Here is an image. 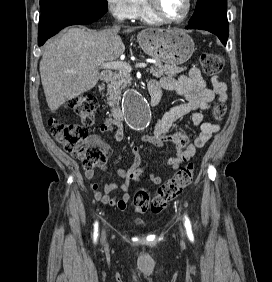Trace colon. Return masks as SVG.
Wrapping results in <instances>:
<instances>
[{
  "mask_svg": "<svg viewBox=\"0 0 272 282\" xmlns=\"http://www.w3.org/2000/svg\"><path fill=\"white\" fill-rule=\"evenodd\" d=\"M200 64L203 71L211 76L218 75L223 69L220 56L212 53L201 55ZM68 108L77 114L82 123L74 124L51 118L48 122L55 140L71 157L78 159L85 169L94 170L105 166L106 147L100 141H90L88 128L93 125L97 110V100L91 95H80L68 103ZM225 104L219 102L214 107V118L220 120L225 114ZM196 167L187 164L172 178L160 185L156 195L151 199L144 189H138L133 196V207L137 213L161 212L170 201L180 195L193 181ZM131 178L137 179L135 173Z\"/></svg>",
  "mask_w": 272,
  "mask_h": 282,
  "instance_id": "1",
  "label": "colon"
}]
</instances>
